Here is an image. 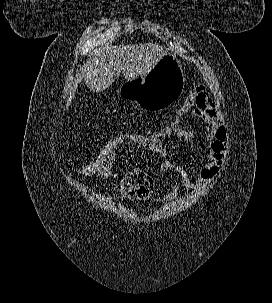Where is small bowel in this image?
<instances>
[{
    "instance_id": "c3829d8e",
    "label": "small bowel",
    "mask_w": 272,
    "mask_h": 303,
    "mask_svg": "<svg viewBox=\"0 0 272 303\" xmlns=\"http://www.w3.org/2000/svg\"><path fill=\"white\" fill-rule=\"evenodd\" d=\"M191 112L194 116L199 118L205 125L206 131V154L202 164L195 170L194 173H189L182 167H177L169 160V152L163 142H140L137 147L149 150L157 155L161 160L159 169L161 171H168L175 169L181 179V183L176 184L166 195L158 201L170 202L180 198L181 187L185 190L184 196H188L195 192L198 188L210 182L219 172V168L226 156L227 146V129L223 124L221 113L218 107L210 101L207 93L203 87L193 89L185 103L177 111L175 118L180 122L181 116L185 113ZM193 131L179 126L173 137L188 141L193 137ZM141 171L132 170L126 173H119L115 169L112 172L101 175L102 178L113 179L118 190L126 196H129L141 179Z\"/></svg>"
}]
</instances>
